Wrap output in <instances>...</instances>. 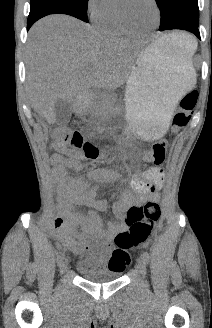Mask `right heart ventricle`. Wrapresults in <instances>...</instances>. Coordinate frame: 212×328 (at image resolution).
Returning a JSON list of instances; mask_svg holds the SVG:
<instances>
[{
  "label": "right heart ventricle",
  "instance_id": "right-heart-ventricle-1",
  "mask_svg": "<svg viewBox=\"0 0 212 328\" xmlns=\"http://www.w3.org/2000/svg\"><path fill=\"white\" fill-rule=\"evenodd\" d=\"M98 27L114 36H123L132 34L129 32L121 23L118 14L117 8L113 4L109 11L97 22Z\"/></svg>",
  "mask_w": 212,
  "mask_h": 328
}]
</instances>
